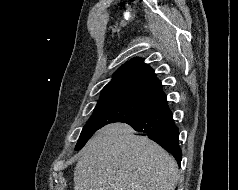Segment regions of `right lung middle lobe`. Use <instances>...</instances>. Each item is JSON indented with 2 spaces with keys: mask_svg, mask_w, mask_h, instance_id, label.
<instances>
[{
  "mask_svg": "<svg viewBox=\"0 0 238 190\" xmlns=\"http://www.w3.org/2000/svg\"><path fill=\"white\" fill-rule=\"evenodd\" d=\"M152 106L154 104L151 102L128 96L100 99L93 115L82 129L76 150H80L101 127L114 122H124L127 119L142 114Z\"/></svg>",
  "mask_w": 238,
  "mask_h": 190,
  "instance_id": "dd1d6c3e",
  "label": "right lung middle lobe"
}]
</instances>
